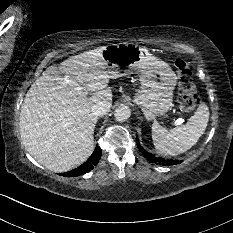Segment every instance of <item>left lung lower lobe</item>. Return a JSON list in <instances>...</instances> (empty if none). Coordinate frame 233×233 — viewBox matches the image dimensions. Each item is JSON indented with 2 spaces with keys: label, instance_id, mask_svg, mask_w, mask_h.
<instances>
[{
  "label": "left lung lower lobe",
  "instance_id": "left-lung-lower-lobe-1",
  "mask_svg": "<svg viewBox=\"0 0 233 233\" xmlns=\"http://www.w3.org/2000/svg\"><path fill=\"white\" fill-rule=\"evenodd\" d=\"M136 144L139 148V150L141 151V153H143V155L152 163H156V164H161V165H173V164H178V161H172V160H165L162 158H159L155 155H153L152 153L147 152L139 143L138 137H136Z\"/></svg>",
  "mask_w": 233,
  "mask_h": 233
}]
</instances>
